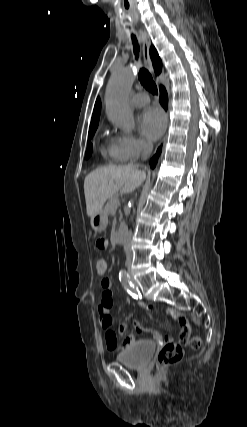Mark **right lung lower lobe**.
<instances>
[{
    "instance_id": "98d812e1",
    "label": "right lung lower lobe",
    "mask_w": 247,
    "mask_h": 427,
    "mask_svg": "<svg viewBox=\"0 0 247 427\" xmlns=\"http://www.w3.org/2000/svg\"><path fill=\"white\" fill-rule=\"evenodd\" d=\"M160 90H161V98H160V102H161L162 106H163L165 109H167V103H168L167 93H166V91H165V88H164V87H162V86H161ZM160 152H161V149L159 148V149H158V151H157V153H156V155L151 159V161H150V166H151V168H154V167H155V165H156V162H157V160H158V156H159Z\"/></svg>"
}]
</instances>
